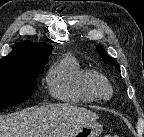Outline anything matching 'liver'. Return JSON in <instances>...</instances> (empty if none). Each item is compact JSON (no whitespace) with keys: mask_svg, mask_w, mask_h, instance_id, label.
I'll use <instances>...</instances> for the list:
<instances>
[{"mask_svg":"<svg viewBox=\"0 0 144 137\" xmlns=\"http://www.w3.org/2000/svg\"><path fill=\"white\" fill-rule=\"evenodd\" d=\"M99 116L69 104L30 107L0 117V137H68Z\"/></svg>","mask_w":144,"mask_h":137,"instance_id":"liver-1","label":"liver"}]
</instances>
